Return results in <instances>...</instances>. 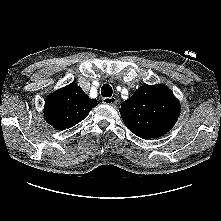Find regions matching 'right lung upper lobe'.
Masks as SVG:
<instances>
[{
  "mask_svg": "<svg viewBox=\"0 0 221 221\" xmlns=\"http://www.w3.org/2000/svg\"><path fill=\"white\" fill-rule=\"evenodd\" d=\"M95 106V99H90L77 84L71 83L47 97L44 116L55 129L64 130L85 119Z\"/></svg>",
  "mask_w": 221,
  "mask_h": 221,
  "instance_id": "1",
  "label": "right lung upper lobe"
}]
</instances>
